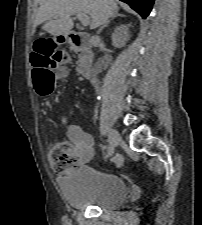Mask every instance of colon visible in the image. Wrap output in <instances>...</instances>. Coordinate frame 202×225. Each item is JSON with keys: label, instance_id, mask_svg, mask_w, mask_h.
Returning a JSON list of instances; mask_svg holds the SVG:
<instances>
[{"label": "colon", "instance_id": "obj_1", "mask_svg": "<svg viewBox=\"0 0 202 225\" xmlns=\"http://www.w3.org/2000/svg\"><path fill=\"white\" fill-rule=\"evenodd\" d=\"M33 84L40 96H49L54 90L53 69L60 68L66 63L68 54L63 50H56L51 41L43 40L33 46ZM77 152L72 146L63 147L55 143L47 153L50 167L59 175L67 177L78 167ZM116 167L123 163L121 156L117 155L112 159Z\"/></svg>", "mask_w": 202, "mask_h": 225}]
</instances>
